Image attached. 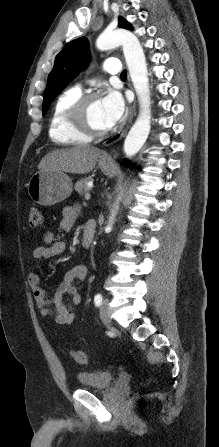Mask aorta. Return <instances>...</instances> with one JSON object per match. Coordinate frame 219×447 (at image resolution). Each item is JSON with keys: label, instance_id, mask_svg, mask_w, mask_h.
I'll use <instances>...</instances> for the list:
<instances>
[{"label": "aorta", "instance_id": "obj_1", "mask_svg": "<svg viewBox=\"0 0 219 447\" xmlns=\"http://www.w3.org/2000/svg\"><path fill=\"white\" fill-rule=\"evenodd\" d=\"M122 46L129 74L138 96L140 112L124 141V153L134 156L144 145L151 127L150 90L147 64L144 51L138 38L130 31L117 29L102 32L96 40L99 50L105 51ZM117 209V207H116ZM116 212L112 210L110 223H113ZM107 229H111L108 224Z\"/></svg>", "mask_w": 219, "mask_h": 447}]
</instances>
